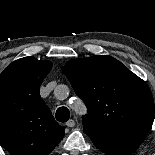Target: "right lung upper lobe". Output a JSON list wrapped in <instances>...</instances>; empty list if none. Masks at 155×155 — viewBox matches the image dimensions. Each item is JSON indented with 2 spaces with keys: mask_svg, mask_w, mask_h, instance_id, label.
Here are the masks:
<instances>
[{
  "mask_svg": "<svg viewBox=\"0 0 155 155\" xmlns=\"http://www.w3.org/2000/svg\"><path fill=\"white\" fill-rule=\"evenodd\" d=\"M51 68L49 61L24 57L0 74V144L12 155H48L64 137L39 94Z\"/></svg>",
  "mask_w": 155,
  "mask_h": 155,
  "instance_id": "cb5924a9",
  "label": "right lung upper lobe"
}]
</instances>
